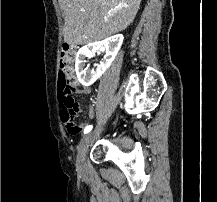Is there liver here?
Instances as JSON below:
<instances>
[{
	"instance_id": "liver-1",
	"label": "liver",
	"mask_w": 217,
	"mask_h": 202,
	"mask_svg": "<svg viewBox=\"0 0 217 202\" xmlns=\"http://www.w3.org/2000/svg\"><path fill=\"white\" fill-rule=\"evenodd\" d=\"M141 0H59L64 42L84 46L122 32L132 24Z\"/></svg>"
}]
</instances>
